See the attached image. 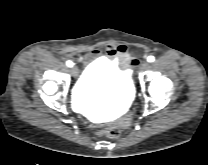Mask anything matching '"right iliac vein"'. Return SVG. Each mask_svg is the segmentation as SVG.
Segmentation results:
<instances>
[{"label":"right iliac vein","instance_id":"1","mask_svg":"<svg viewBox=\"0 0 208 165\" xmlns=\"http://www.w3.org/2000/svg\"><path fill=\"white\" fill-rule=\"evenodd\" d=\"M70 72H71V75L73 77H77L78 76V73H79L78 68L75 67V66L71 67Z\"/></svg>","mask_w":208,"mask_h":165}]
</instances>
